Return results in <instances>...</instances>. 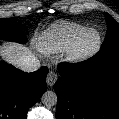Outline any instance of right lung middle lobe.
<instances>
[{"instance_id": "right-lung-middle-lobe-1", "label": "right lung middle lobe", "mask_w": 119, "mask_h": 119, "mask_svg": "<svg viewBox=\"0 0 119 119\" xmlns=\"http://www.w3.org/2000/svg\"><path fill=\"white\" fill-rule=\"evenodd\" d=\"M17 18L0 19V39L26 42V38L16 25Z\"/></svg>"}]
</instances>
